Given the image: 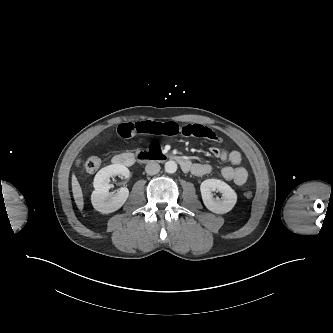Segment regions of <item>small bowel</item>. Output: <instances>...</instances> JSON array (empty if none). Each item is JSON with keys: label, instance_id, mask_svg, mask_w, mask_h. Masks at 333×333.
<instances>
[{"label": "small bowel", "instance_id": "c3829d8e", "mask_svg": "<svg viewBox=\"0 0 333 333\" xmlns=\"http://www.w3.org/2000/svg\"><path fill=\"white\" fill-rule=\"evenodd\" d=\"M118 135L123 139H130L140 134H154L177 136L188 138H205L214 142H219V136L210 128L200 124L179 125L175 122L159 123L153 121H143L136 123L121 124L117 128ZM210 153L221 161H229L232 165L225 166L221 170V176L226 181H233L237 185H243L248 178V172L241 166V154L238 151H227L218 147H211ZM192 174L204 176L212 171L209 164H193Z\"/></svg>", "mask_w": 333, "mask_h": 333}]
</instances>
